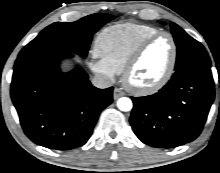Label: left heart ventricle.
<instances>
[{
    "label": "left heart ventricle",
    "mask_w": 220,
    "mask_h": 173,
    "mask_svg": "<svg viewBox=\"0 0 220 173\" xmlns=\"http://www.w3.org/2000/svg\"><path fill=\"white\" fill-rule=\"evenodd\" d=\"M171 58V43L163 36L152 42L144 51L135 69L130 74V82L136 86H148L156 82L168 68Z\"/></svg>",
    "instance_id": "obj_1"
}]
</instances>
